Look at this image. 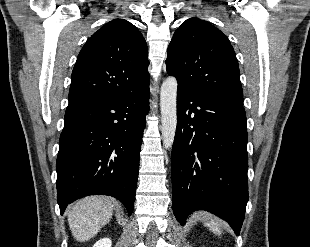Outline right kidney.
<instances>
[{"mask_svg":"<svg viewBox=\"0 0 310 247\" xmlns=\"http://www.w3.org/2000/svg\"><path fill=\"white\" fill-rule=\"evenodd\" d=\"M112 241L109 238H102L98 240L93 247H111Z\"/></svg>","mask_w":310,"mask_h":247,"instance_id":"1","label":"right kidney"}]
</instances>
